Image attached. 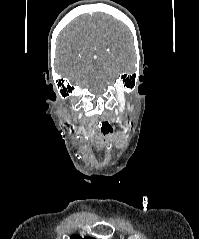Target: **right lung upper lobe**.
<instances>
[{
	"label": "right lung upper lobe",
	"instance_id": "right-lung-upper-lobe-1",
	"mask_svg": "<svg viewBox=\"0 0 199 239\" xmlns=\"http://www.w3.org/2000/svg\"><path fill=\"white\" fill-rule=\"evenodd\" d=\"M71 239H82L80 236H73ZM84 239H94L90 237H85Z\"/></svg>",
	"mask_w": 199,
	"mask_h": 239
}]
</instances>
